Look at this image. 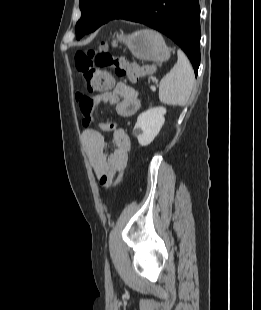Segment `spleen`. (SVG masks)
<instances>
[{"instance_id":"obj_1","label":"spleen","mask_w":261,"mask_h":310,"mask_svg":"<svg viewBox=\"0 0 261 310\" xmlns=\"http://www.w3.org/2000/svg\"><path fill=\"white\" fill-rule=\"evenodd\" d=\"M178 61L159 85V100L167 105L185 106L195 83L193 68L186 55L178 50Z\"/></svg>"}]
</instances>
